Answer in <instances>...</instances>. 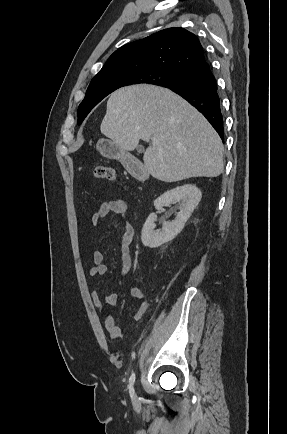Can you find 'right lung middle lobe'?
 <instances>
[{"label":"right lung middle lobe","instance_id":"dd1d6c3e","mask_svg":"<svg viewBox=\"0 0 287 434\" xmlns=\"http://www.w3.org/2000/svg\"><path fill=\"white\" fill-rule=\"evenodd\" d=\"M181 75L159 71H150L136 76H113L92 80L86 91L84 100L78 107V124H81L88 113L107 95L120 87L131 84H154L164 86L173 84Z\"/></svg>","mask_w":287,"mask_h":434}]
</instances>
